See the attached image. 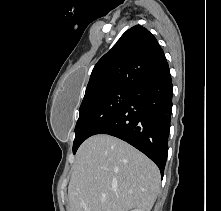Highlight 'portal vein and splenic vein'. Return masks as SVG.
<instances>
[{"label":"portal vein and splenic vein","mask_w":221,"mask_h":211,"mask_svg":"<svg viewBox=\"0 0 221 211\" xmlns=\"http://www.w3.org/2000/svg\"><path fill=\"white\" fill-rule=\"evenodd\" d=\"M105 201V198H101V202H104Z\"/></svg>","instance_id":"portal-vein-and-splenic-vein-1"}]
</instances>
